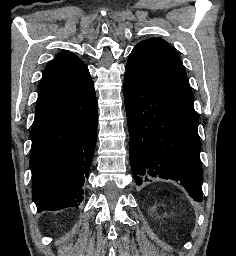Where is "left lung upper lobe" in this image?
Here are the masks:
<instances>
[{"label":"left lung upper lobe","mask_w":236,"mask_h":256,"mask_svg":"<svg viewBox=\"0 0 236 256\" xmlns=\"http://www.w3.org/2000/svg\"><path fill=\"white\" fill-rule=\"evenodd\" d=\"M126 73L193 104L183 64L174 48L160 38L143 40L134 47Z\"/></svg>","instance_id":"left-lung-upper-lobe-1"}]
</instances>
